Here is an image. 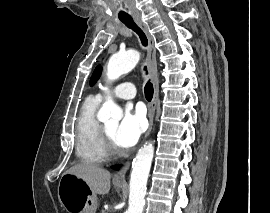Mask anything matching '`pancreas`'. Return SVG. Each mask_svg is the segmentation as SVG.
Segmentation results:
<instances>
[{
  "instance_id": "1",
  "label": "pancreas",
  "mask_w": 270,
  "mask_h": 213,
  "mask_svg": "<svg viewBox=\"0 0 270 213\" xmlns=\"http://www.w3.org/2000/svg\"><path fill=\"white\" fill-rule=\"evenodd\" d=\"M101 213H106L104 210H101Z\"/></svg>"
}]
</instances>
